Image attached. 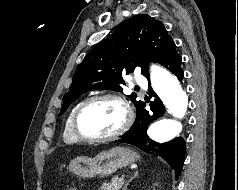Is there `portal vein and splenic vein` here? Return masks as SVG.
Instances as JSON below:
<instances>
[{
	"instance_id": "1",
	"label": "portal vein and splenic vein",
	"mask_w": 238,
	"mask_h": 190,
	"mask_svg": "<svg viewBox=\"0 0 238 190\" xmlns=\"http://www.w3.org/2000/svg\"><path fill=\"white\" fill-rule=\"evenodd\" d=\"M124 180V176H122L121 178H120V181H123Z\"/></svg>"
}]
</instances>
